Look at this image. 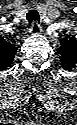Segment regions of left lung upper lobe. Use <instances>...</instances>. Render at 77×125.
<instances>
[{"mask_svg":"<svg viewBox=\"0 0 77 125\" xmlns=\"http://www.w3.org/2000/svg\"><path fill=\"white\" fill-rule=\"evenodd\" d=\"M60 44L57 52L60 55L61 66L66 70H71L77 61V41L73 37H65L60 40Z\"/></svg>","mask_w":77,"mask_h":125,"instance_id":"5c2ea615","label":"left lung upper lobe"}]
</instances>
